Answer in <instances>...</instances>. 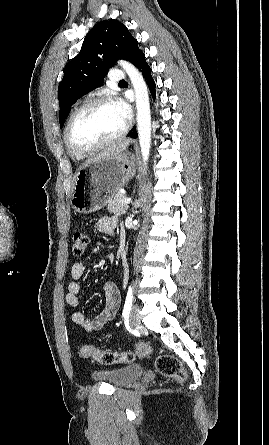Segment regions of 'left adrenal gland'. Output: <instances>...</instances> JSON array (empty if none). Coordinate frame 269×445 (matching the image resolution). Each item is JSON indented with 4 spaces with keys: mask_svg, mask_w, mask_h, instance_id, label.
Listing matches in <instances>:
<instances>
[{
    "mask_svg": "<svg viewBox=\"0 0 269 445\" xmlns=\"http://www.w3.org/2000/svg\"><path fill=\"white\" fill-rule=\"evenodd\" d=\"M137 204H138V203H137V202H135V204H134V206H133L132 210L134 209V207H136V206H137Z\"/></svg>",
    "mask_w": 269,
    "mask_h": 445,
    "instance_id": "a2214340",
    "label": "left adrenal gland"
}]
</instances>
